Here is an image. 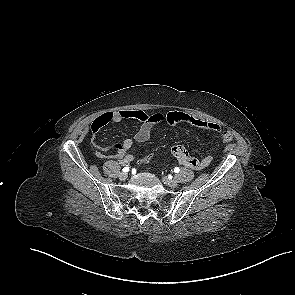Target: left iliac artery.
I'll return each mask as SVG.
<instances>
[{
	"instance_id": "left-iliac-artery-1",
	"label": "left iliac artery",
	"mask_w": 295,
	"mask_h": 295,
	"mask_svg": "<svg viewBox=\"0 0 295 295\" xmlns=\"http://www.w3.org/2000/svg\"><path fill=\"white\" fill-rule=\"evenodd\" d=\"M179 171H180V169H179L178 167H175V168H174V172H175V173H178Z\"/></svg>"
}]
</instances>
